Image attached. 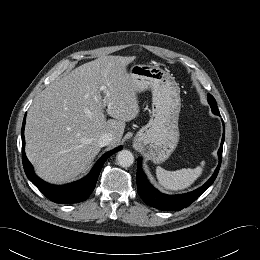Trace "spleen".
I'll list each match as a JSON object with an SVG mask.
<instances>
[{
  "instance_id": "spleen-1",
  "label": "spleen",
  "mask_w": 260,
  "mask_h": 260,
  "mask_svg": "<svg viewBox=\"0 0 260 260\" xmlns=\"http://www.w3.org/2000/svg\"><path fill=\"white\" fill-rule=\"evenodd\" d=\"M205 162L194 169H180L176 171H167L162 167L156 168V176L159 184L167 190L178 191L191 186L198 177L201 176Z\"/></svg>"
}]
</instances>
